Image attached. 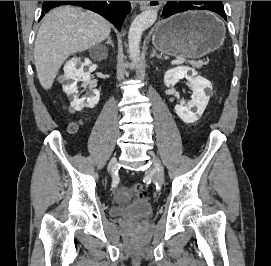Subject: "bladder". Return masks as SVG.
Instances as JSON below:
<instances>
[{"label":"bladder","instance_id":"1","mask_svg":"<svg viewBox=\"0 0 271 266\" xmlns=\"http://www.w3.org/2000/svg\"><path fill=\"white\" fill-rule=\"evenodd\" d=\"M154 207L151 203L145 200H139L131 203L126 207L114 205L112 213L121 216L127 220L140 221L152 215Z\"/></svg>","mask_w":271,"mask_h":266}]
</instances>
